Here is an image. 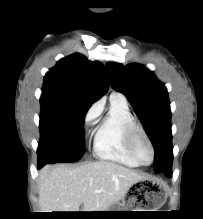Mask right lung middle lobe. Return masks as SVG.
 <instances>
[{
	"label": "right lung middle lobe",
	"instance_id": "dd1d6c3e",
	"mask_svg": "<svg viewBox=\"0 0 203 219\" xmlns=\"http://www.w3.org/2000/svg\"><path fill=\"white\" fill-rule=\"evenodd\" d=\"M38 163L74 162L84 152V117L91 104L53 92H42Z\"/></svg>",
	"mask_w": 203,
	"mask_h": 219
}]
</instances>
